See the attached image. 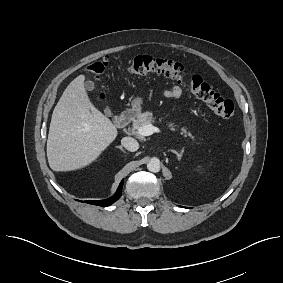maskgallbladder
I'll return each mask as SVG.
<instances>
[{
    "mask_svg": "<svg viewBox=\"0 0 283 283\" xmlns=\"http://www.w3.org/2000/svg\"><path fill=\"white\" fill-rule=\"evenodd\" d=\"M85 88H86L88 91H93V90H95L96 85H95V83H94L93 81L88 80V81L85 82ZM105 113L108 114V115H111L108 110H105Z\"/></svg>",
    "mask_w": 283,
    "mask_h": 283,
    "instance_id": "gallbladder-1",
    "label": "gallbladder"
}]
</instances>
